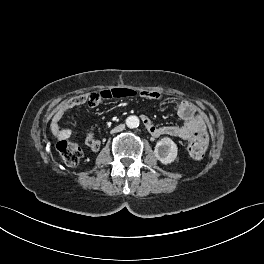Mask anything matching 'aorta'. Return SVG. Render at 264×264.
Instances as JSON below:
<instances>
[{"label":"aorta","instance_id":"obj_1","mask_svg":"<svg viewBox=\"0 0 264 264\" xmlns=\"http://www.w3.org/2000/svg\"><path fill=\"white\" fill-rule=\"evenodd\" d=\"M139 123H140L139 118L135 115L129 116L126 119V125L130 129L137 128L139 126Z\"/></svg>","mask_w":264,"mask_h":264}]
</instances>
